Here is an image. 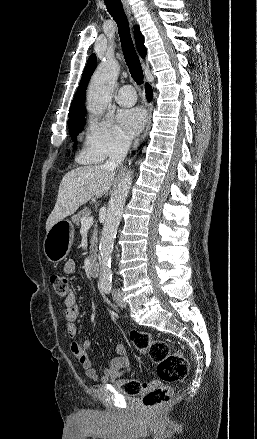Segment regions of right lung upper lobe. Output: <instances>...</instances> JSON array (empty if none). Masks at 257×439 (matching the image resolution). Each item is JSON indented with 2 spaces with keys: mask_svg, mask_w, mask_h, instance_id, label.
<instances>
[{
  "mask_svg": "<svg viewBox=\"0 0 257 439\" xmlns=\"http://www.w3.org/2000/svg\"><path fill=\"white\" fill-rule=\"evenodd\" d=\"M134 32H135V42L137 45L138 52L140 56L143 58L147 54L146 47L144 46V37L140 33L138 26H135ZM96 66H97V59L95 54H92L88 59L87 65L85 66L79 87L72 101L69 114L86 115V108L84 105V100L86 98V88Z\"/></svg>",
  "mask_w": 257,
  "mask_h": 439,
  "instance_id": "obj_1",
  "label": "right lung upper lobe"
}]
</instances>
